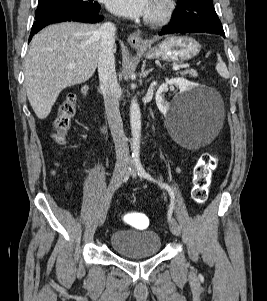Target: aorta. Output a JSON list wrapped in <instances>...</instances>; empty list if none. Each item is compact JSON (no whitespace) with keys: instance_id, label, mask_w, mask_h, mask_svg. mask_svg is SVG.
<instances>
[{"instance_id":"762f6f07","label":"aorta","mask_w":267,"mask_h":301,"mask_svg":"<svg viewBox=\"0 0 267 301\" xmlns=\"http://www.w3.org/2000/svg\"><path fill=\"white\" fill-rule=\"evenodd\" d=\"M130 125L132 133V157L136 160L140 155L141 112L136 99L130 105Z\"/></svg>"}]
</instances>
